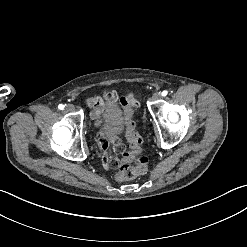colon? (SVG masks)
<instances>
[{"label":"colon","instance_id":"obj_1","mask_svg":"<svg viewBox=\"0 0 247 247\" xmlns=\"http://www.w3.org/2000/svg\"><path fill=\"white\" fill-rule=\"evenodd\" d=\"M133 101V96L129 94L120 98V103L124 110L125 136L129 143V149L134 154V156H132L130 153H124L122 156V161L125 164H132V170L129 173H123L121 170L115 171L112 174V179L115 182H120L122 179L138 178L143 175L148 168V158L143 157L141 154L137 155V152H140L141 149V138L131 121L134 111ZM134 157L135 160H133Z\"/></svg>","mask_w":247,"mask_h":247}]
</instances>
